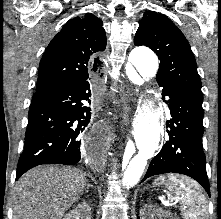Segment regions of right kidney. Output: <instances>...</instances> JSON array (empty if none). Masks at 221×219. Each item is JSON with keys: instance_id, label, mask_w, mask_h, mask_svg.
<instances>
[{"instance_id": "ca27d5eb", "label": "right kidney", "mask_w": 221, "mask_h": 219, "mask_svg": "<svg viewBox=\"0 0 221 219\" xmlns=\"http://www.w3.org/2000/svg\"><path fill=\"white\" fill-rule=\"evenodd\" d=\"M63 219H91V207L84 201L67 213Z\"/></svg>"}]
</instances>
